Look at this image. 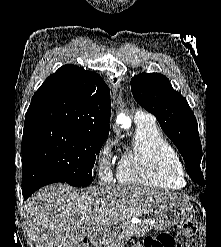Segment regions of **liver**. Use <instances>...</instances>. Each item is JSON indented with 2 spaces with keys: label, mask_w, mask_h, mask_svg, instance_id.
Returning a JSON list of instances; mask_svg holds the SVG:
<instances>
[{
  "label": "liver",
  "mask_w": 221,
  "mask_h": 247,
  "mask_svg": "<svg viewBox=\"0 0 221 247\" xmlns=\"http://www.w3.org/2000/svg\"><path fill=\"white\" fill-rule=\"evenodd\" d=\"M178 197L137 186H103L76 193L71 187L53 184L41 189L24 204L29 225L41 247H77L89 230L129 221Z\"/></svg>",
  "instance_id": "1"
}]
</instances>
